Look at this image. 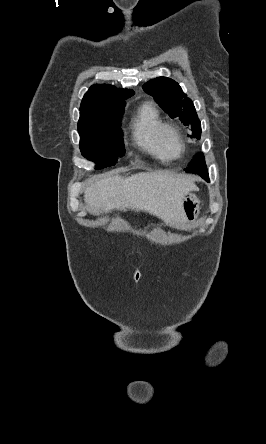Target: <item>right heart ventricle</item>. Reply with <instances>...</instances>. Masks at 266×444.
<instances>
[{
  "label": "right heart ventricle",
  "mask_w": 266,
  "mask_h": 444,
  "mask_svg": "<svg viewBox=\"0 0 266 444\" xmlns=\"http://www.w3.org/2000/svg\"><path fill=\"white\" fill-rule=\"evenodd\" d=\"M163 118L152 102L143 103L131 122L132 137L142 151L160 159H166L158 143V130Z\"/></svg>",
  "instance_id": "obj_1"
}]
</instances>
